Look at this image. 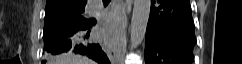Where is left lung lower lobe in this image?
I'll return each instance as SVG.
<instances>
[{
    "instance_id": "obj_1",
    "label": "left lung lower lobe",
    "mask_w": 242,
    "mask_h": 64,
    "mask_svg": "<svg viewBox=\"0 0 242 64\" xmlns=\"http://www.w3.org/2000/svg\"><path fill=\"white\" fill-rule=\"evenodd\" d=\"M196 44L189 0H151L146 64H191Z\"/></svg>"
}]
</instances>
